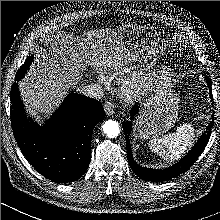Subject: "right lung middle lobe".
Here are the masks:
<instances>
[{
    "mask_svg": "<svg viewBox=\"0 0 220 220\" xmlns=\"http://www.w3.org/2000/svg\"><path fill=\"white\" fill-rule=\"evenodd\" d=\"M33 60V56H29L26 61L24 62V64L20 67V69L17 71V74L15 76V80H19L21 79L26 71L28 70V67L30 66V64L32 63Z\"/></svg>",
    "mask_w": 220,
    "mask_h": 220,
    "instance_id": "obj_1",
    "label": "right lung middle lobe"
}]
</instances>
